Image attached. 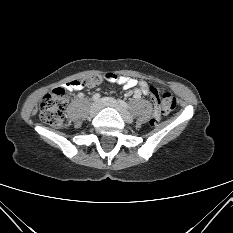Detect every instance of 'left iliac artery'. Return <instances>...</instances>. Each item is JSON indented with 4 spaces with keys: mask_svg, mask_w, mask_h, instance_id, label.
<instances>
[{
    "mask_svg": "<svg viewBox=\"0 0 233 233\" xmlns=\"http://www.w3.org/2000/svg\"><path fill=\"white\" fill-rule=\"evenodd\" d=\"M118 102H119L120 105H121L122 107H124L125 109H128V108H129V106H128V104H127L126 102H124V101H122V100H118Z\"/></svg>",
    "mask_w": 233,
    "mask_h": 233,
    "instance_id": "left-iliac-artery-1",
    "label": "left iliac artery"
}]
</instances>
